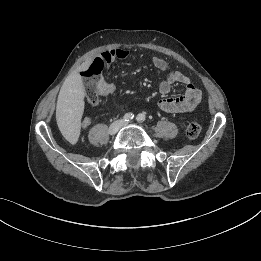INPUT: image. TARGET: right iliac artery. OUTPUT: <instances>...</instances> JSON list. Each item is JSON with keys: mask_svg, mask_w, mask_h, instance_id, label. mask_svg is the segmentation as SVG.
Returning a JSON list of instances; mask_svg holds the SVG:
<instances>
[{"mask_svg": "<svg viewBox=\"0 0 261 261\" xmlns=\"http://www.w3.org/2000/svg\"><path fill=\"white\" fill-rule=\"evenodd\" d=\"M123 118H124V121L128 122V121H130L134 118V114L133 113H126Z\"/></svg>", "mask_w": 261, "mask_h": 261, "instance_id": "right-iliac-artery-1", "label": "right iliac artery"}]
</instances>
